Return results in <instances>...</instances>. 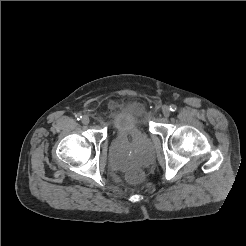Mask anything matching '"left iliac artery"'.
<instances>
[{
	"label": "left iliac artery",
	"instance_id": "1",
	"mask_svg": "<svg viewBox=\"0 0 246 246\" xmlns=\"http://www.w3.org/2000/svg\"><path fill=\"white\" fill-rule=\"evenodd\" d=\"M169 109H170V111L174 112V111H176L177 107H176V105L172 104V105H170Z\"/></svg>",
	"mask_w": 246,
	"mask_h": 246
}]
</instances>
